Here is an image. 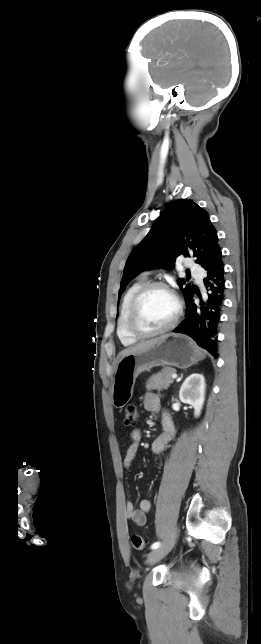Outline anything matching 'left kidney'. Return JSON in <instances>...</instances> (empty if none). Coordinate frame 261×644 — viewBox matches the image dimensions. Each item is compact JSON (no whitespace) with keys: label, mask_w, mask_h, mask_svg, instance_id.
I'll return each instance as SVG.
<instances>
[{"label":"left kidney","mask_w":261,"mask_h":644,"mask_svg":"<svg viewBox=\"0 0 261 644\" xmlns=\"http://www.w3.org/2000/svg\"><path fill=\"white\" fill-rule=\"evenodd\" d=\"M205 388L206 384L204 376L198 373L191 374L187 377L180 388V400L194 408L195 417L200 415L203 408Z\"/></svg>","instance_id":"1"}]
</instances>
